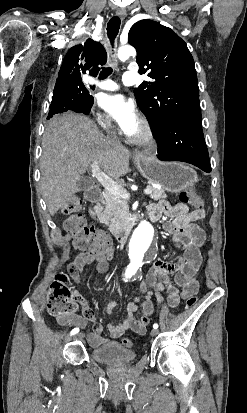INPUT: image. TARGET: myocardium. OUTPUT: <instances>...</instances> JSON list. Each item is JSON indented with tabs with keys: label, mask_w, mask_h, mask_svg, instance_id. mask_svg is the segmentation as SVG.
I'll return each instance as SVG.
<instances>
[{
	"label": "myocardium",
	"mask_w": 247,
	"mask_h": 413,
	"mask_svg": "<svg viewBox=\"0 0 247 413\" xmlns=\"http://www.w3.org/2000/svg\"><path fill=\"white\" fill-rule=\"evenodd\" d=\"M142 127L144 129V134L140 137L134 138L131 137L129 141L137 146H149L155 142L156 139V133L153 125L151 124L150 121L144 120L142 122ZM96 130V129H95Z\"/></svg>",
	"instance_id": "1"
}]
</instances>
